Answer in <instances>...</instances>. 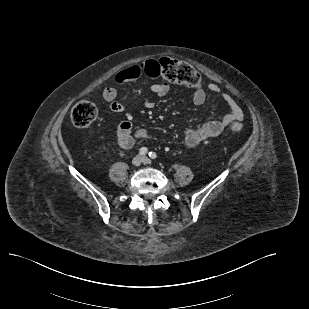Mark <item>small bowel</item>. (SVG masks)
<instances>
[{
	"label": "small bowel",
	"instance_id": "small-bowel-1",
	"mask_svg": "<svg viewBox=\"0 0 309 309\" xmlns=\"http://www.w3.org/2000/svg\"><path fill=\"white\" fill-rule=\"evenodd\" d=\"M143 76L157 78L159 76L156 67L149 64V61L132 65L120 70L114 77L117 84H124L135 81ZM170 90L166 82L155 83L151 86L150 92L158 97H164ZM207 90L211 93L219 95L229 108V113L219 120H211L202 123L196 127L188 128L184 133V140L188 147L195 148L205 140L217 137L224 129L232 123L240 122L243 120L244 114L239 104L229 94L222 91L220 86L216 83L207 85ZM105 101L109 102L110 109L113 112H123L125 106L116 100L117 90L113 86H107L102 92ZM192 102L196 106L204 104L206 101L207 93L202 84L194 87L192 93ZM155 103L150 99L144 100L146 108H153ZM148 133L144 129H133L130 120L122 121L117 128L118 143L123 149H130L134 146L135 141L138 139H145Z\"/></svg>",
	"mask_w": 309,
	"mask_h": 309
}]
</instances>
